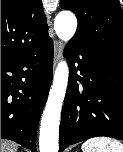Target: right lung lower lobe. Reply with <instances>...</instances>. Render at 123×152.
I'll use <instances>...</instances> for the list:
<instances>
[{
	"label": "right lung lower lobe",
	"mask_w": 123,
	"mask_h": 152,
	"mask_svg": "<svg viewBox=\"0 0 123 152\" xmlns=\"http://www.w3.org/2000/svg\"><path fill=\"white\" fill-rule=\"evenodd\" d=\"M49 36L32 51L1 59V138L36 151V132L52 81Z\"/></svg>",
	"instance_id": "98d812e1"
}]
</instances>
